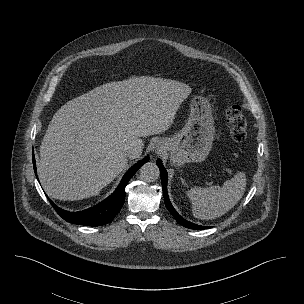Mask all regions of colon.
<instances>
[{
  "instance_id": "obj_1",
  "label": "colon",
  "mask_w": 304,
  "mask_h": 304,
  "mask_svg": "<svg viewBox=\"0 0 304 304\" xmlns=\"http://www.w3.org/2000/svg\"><path fill=\"white\" fill-rule=\"evenodd\" d=\"M225 119L231 139L241 143L247 136V119L239 105L229 102L225 109Z\"/></svg>"
}]
</instances>
